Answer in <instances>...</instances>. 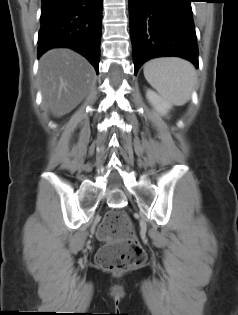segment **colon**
Here are the masks:
<instances>
[{
	"instance_id": "5ec220e1",
	"label": "colon",
	"mask_w": 238,
	"mask_h": 315,
	"mask_svg": "<svg viewBox=\"0 0 238 315\" xmlns=\"http://www.w3.org/2000/svg\"><path fill=\"white\" fill-rule=\"evenodd\" d=\"M97 235L107 242L96 256V262L102 268L122 271L137 267L145 261V252L136 239L125 212H108L99 225Z\"/></svg>"
}]
</instances>
